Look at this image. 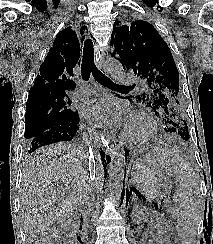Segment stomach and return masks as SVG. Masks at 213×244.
Here are the masks:
<instances>
[{
  "label": "stomach",
  "mask_w": 213,
  "mask_h": 244,
  "mask_svg": "<svg viewBox=\"0 0 213 244\" xmlns=\"http://www.w3.org/2000/svg\"><path fill=\"white\" fill-rule=\"evenodd\" d=\"M130 165L133 185L149 201H158L168 193L171 182L158 164L157 149H136Z\"/></svg>",
  "instance_id": "1"
}]
</instances>
